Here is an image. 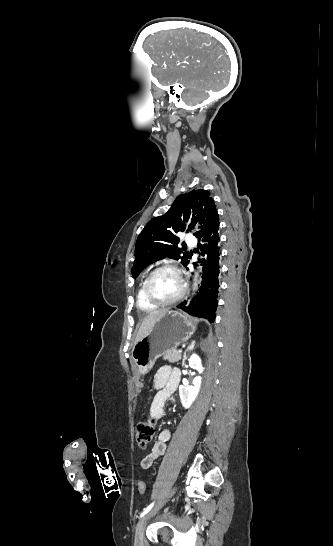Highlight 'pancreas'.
Listing matches in <instances>:
<instances>
[{"instance_id":"cf45deb5","label":"pancreas","mask_w":333,"mask_h":546,"mask_svg":"<svg viewBox=\"0 0 333 546\" xmlns=\"http://www.w3.org/2000/svg\"><path fill=\"white\" fill-rule=\"evenodd\" d=\"M181 357H182L181 353H179L175 349L163 354V360H167L170 363H175L180 361Z\"/></svg>"}]
</instances>
